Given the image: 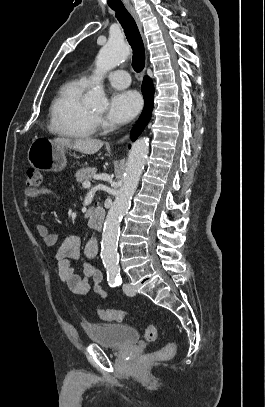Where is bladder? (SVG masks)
Listing matches in <instances>:
<instances>
[{
	"label": "bladder",
	"instance_id": "1",
	"mask_svg": "<svg viewBox=\"0 0 265 407\" xmlns=\"http://www.w3.org/2000/svg\"><path fill=\"white\" fill-rule=\"evenodd\" d=\"M85 332L92 342L113 349H121L135 344L139 339L136 329L124 324H88L85 327Z\"/></svg>",
	"mask_w": 265,
	"mask_h": 407
}]
</instances>
